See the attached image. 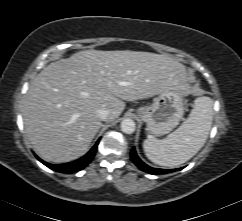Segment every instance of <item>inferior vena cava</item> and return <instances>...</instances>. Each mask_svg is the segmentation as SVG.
Instances as JSON below:
<instances>
[{"label": "inferior vena cava", "instance_id": "602c4592", "mask_svg": "<svg viewBox=\"0 0 242 221\" xmlns=\"http://www.w3.org/2000/svg\"><path fill=\"white\" fill-rule=\"evenodd\" d=\"M97 115L102 121H108L109 119V111L106 109H99Z\"/></svg>", "mask_w": 242, "mask_h": 221}]
</instances>
